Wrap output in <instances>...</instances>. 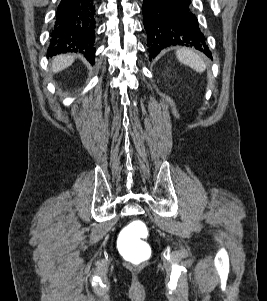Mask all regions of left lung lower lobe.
<instances>
[{
  "instance_id": "left-lung-lower-lobe-1",
  "label": "left lung lower lobe",
  "mask_w": 267,
  "mask_h": 301,
  "mask_svg": "<svg viewBox=\"0 0 267 301\" xmlns=\"http://www.w3.org/2000/svg\"><path fill=\"white\" fill-rule=\"evenodd\" d=\"M142 12L150 61L171 45L194 47L212 58L191 0H144Z\"/></svg>"
}]
</instances>
